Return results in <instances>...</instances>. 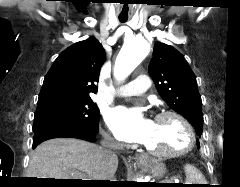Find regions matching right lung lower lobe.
Listing matches in <instances>:
<instances>
[{"label": "right lung lower lobe", "mask_w": 240, "mask_h": 187, "mask_svg": "<svg viewBox=\"0 0 240 187\" xmlns=\"http://www.w3.org/2000/svg\"><path fill=\"white\" fill-rule=\"evenodd\" d=\"M97 133L98 127L79 130L64 125H49L34 132L33 148H36L43 141L61 137L79 138L92 142L95 140Z\"/></svg>", "instance_id": "right-lung-lower-lobe-1"}]
</instances>
